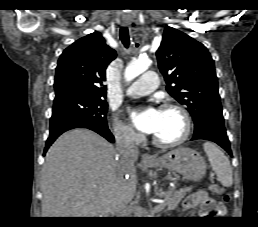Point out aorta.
<instances>
[{
  "label": "aorta",
  "instance_id": "aorta-1",
  "mask_svg": "<svg viewBox=\"0 0 258 227\" xmlns=\"http://www.w3.org/2000/svg\"><path fill=\"white\" fill-rule=\"evenodd\" d=\"M150 64L151 62L148 58H139L131 61L124 72L125 80L127 82L132 81L134 78L145 72L149 68Z\"/></svg>",
  "mask_w": 258,
  "mask_h": 227
}]
</instances>
